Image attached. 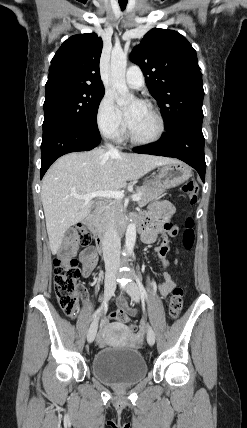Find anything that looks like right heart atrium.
Returning <instances> with one entry per match:
<instances>
[{
  "instance_id": "obj_1",
  "label": "right heart atrium",
  "mask_w": 247,
  "mask_h": 428,
  "mask_svg": "<svg viewBox=\"0 0 247 428\" xmlns=\"http://www.w3.org/2000/svg\"><path fill=\"white\" fill-rule=\"evenodd\" d=\"M96 123L100 132L108 138L119 139L123 135V120L110 94H104L99 102Z\"/></svg>"
}]
</instances>
